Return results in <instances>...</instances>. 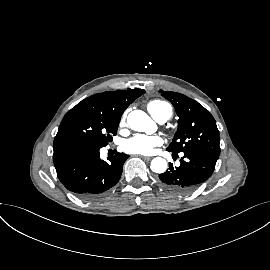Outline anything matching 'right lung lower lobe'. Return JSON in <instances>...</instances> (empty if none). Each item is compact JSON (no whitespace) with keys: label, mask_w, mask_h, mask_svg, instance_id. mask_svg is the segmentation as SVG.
<instances>
[{"label":"right lung lower lobe","mask_w":270,"mask_h":270,"mask_svg":"<svg viewBox=\"0 0 270 270\" xmlns=\"http://www.w3.org/2000/svg\"><path fill=\"white\" fill-rule=\"evenodd\" d=\"M100 148L77 139L54 140L57 176L69 191L81 198H94L116 185L129 157L118 153L104 161L100 159Z\"/></svg>","instance_id":"obj_1"}]
</instances>
